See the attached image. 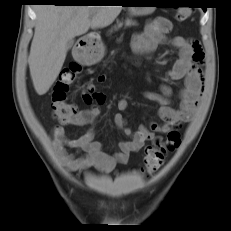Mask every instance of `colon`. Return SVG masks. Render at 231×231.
<instances>
[{
	"mask_svg": "<svg viewBox=\"0 0 231 231\" xmlns=\"http://www.w3.org/2000/svg\"><path fill=\"white\" fill-rule=\"evenodd\" d=\"M190 15L191 9L182 8L178 11L176 17L179 21H184ZM81 71V65L73 62L61 71L56 82L52 93V113L53 117L60 123H68L77 113L75 106L67 102V94L70 86L74 83ZM180 144V133L175 130L170 131L165 140H155L154 143L145 150L143 171L148 175L158 171L164 163L166 154L177 150Z\"/></svg>",
	"mask_w": 231,
	"mask_h": 231,
	"instance_id": "obj_1",
	"label": "colon"
}]
</instances>
